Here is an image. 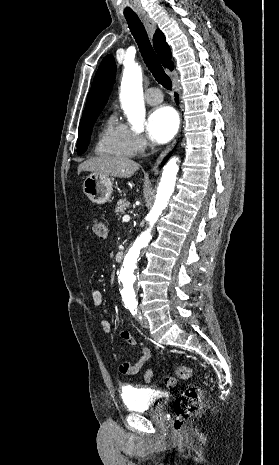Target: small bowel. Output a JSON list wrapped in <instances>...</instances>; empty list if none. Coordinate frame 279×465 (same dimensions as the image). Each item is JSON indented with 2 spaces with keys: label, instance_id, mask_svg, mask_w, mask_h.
Here are the masks:
<instances>
[{
  "label": "small bowel",
  "instance_id": "c3829d8e",
  "mask_svg": "<svg viewBox=\"0 0 279 465\" xmlns=\"http://www.w3.org/2000/svg\"><path fill=\"white\" fill-rule=\"evenodd\" d=\"M92 301L95 306L102 305L104 301V295L100 289H94L92 291ZM101 328L105 334H110L112 332V325L107 320H103L101 322ZM120 336L130 346L140 345V352L136 361L120 362L117 366L118 372L120 374L130 377L137 374L141 370V368L150 361L152 357V352L147 345L139 342L137 338L127 330H122L120 332ZM114 360L116 362L118 361V357L116 355H114ZM152 376L153 372L149 369L145 372L144 378L146 381H149L152 378Z\"/></svg>",
  "mask_w": 279,
  "mask_h": 465
}]
</instances>
